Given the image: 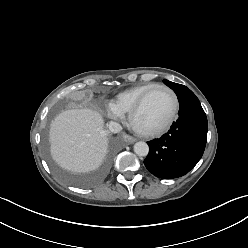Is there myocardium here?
Masks as SVG:
<instances>
[{"mask_svg": "<svg viewBox=\"0 0 248 248\" xmlns=\"http://www.w3.org/2000/svg\"><path fill=\"white\" fill-rule=\"evenodd\" d=\"M156 89H164L171 95L172 100H173V108H172L171 115L168 118V120L160 127L156 128L154 130H149V131L141 130L135 125L136 116L138 115V113L142 109L148 96ZM178 110H179V101H178V98H177V95L175 94V92L170 87H168L166 85L156 84L155 86H153L152 88H150L146 92H144L141 95V97L138 99V101L136 102L134 107L132 108L131 112L129 113V117H128L129 125L132 128V130L134 132H136L137 134H139L140 136L150 137V138L159 137V136L163 135L165 132H167L172 127V125L174 124V122L177 118Z\"/></svg>", "mask_w": 248, "mask_h": 248, "instance_id": "1", "label": "myocardium"}]
</instances>
